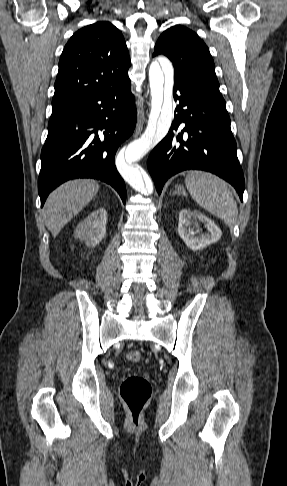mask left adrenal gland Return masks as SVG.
<instances>
[{
    "label": "left adrenal gland",
    "mask_w": 287,
    "mask_h": 486,
    "mask_svg": "<svg viewBox=\"0 0 287 486\" xmlns=\"http://www.w3.org/2000/svg\"><path fill=\"white\" fill-rule=\"evenodd\" d=\"M174 194L185 195V191L181 185H176V190L174 191Z\"/></svg>",
    "instance_id": "obj_1"
}]
</instances>
